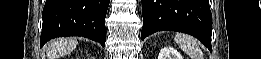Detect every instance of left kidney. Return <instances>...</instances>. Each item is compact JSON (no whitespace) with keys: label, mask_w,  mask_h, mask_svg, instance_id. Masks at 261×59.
<instances>
[{"label":"left kidney","mask_w":261,"mask_h":59,"mask_svg":"<svg viewBox=\"0 0 261 59\" xmlns=\"http://www.w3.org/2000/svg\"><path fill=\"white\" fill-rule=\"evenodd\" d=\"M158 59H183V57L177 50L169 46L160 50Z\"/></svg>","instance_id":"obj_1"}]
</instances>
